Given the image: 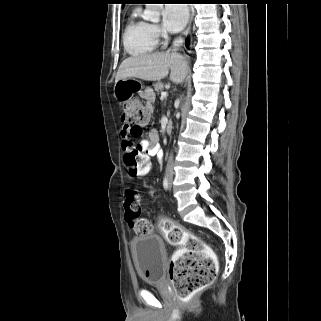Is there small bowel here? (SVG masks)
<instances>
[{
  "mask_svg": "<svg viewBox=\"0 0 321 321\" xmlns=\"http://www.w3.org/2000/svg\"><path fill=\"white\" fill-rule=\"evenodd\" d=\"M147 101H151L149 95H145ZM131 133L125 126L121 129V147L125 155L134 150H137L145 155L149 156H159L161 154V149L159 146V133L157 130H151L148 135L143 138L140 142L134 144L130 139Z\"/></svg>",
  "mask_w": 321,
  "mask_h": 321,
  "instance_id": "obj_1",
  "label": "small bowel"
}]
</instances>
